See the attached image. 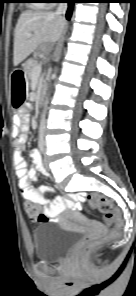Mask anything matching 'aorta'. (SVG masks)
<instances>
[{
    "mask_svg": "<svg viewBox=\"0 0 136 296\" xmlns=\"http://www.w3.org/2000/svg\"><path fill=\"white\" fill-rule=\"evenodd\" d=\"M53 77H56V74H53ZM48 104V98L45 101V109L41 115V120H40V127H39V138L42 141L44 138V134H45V111H46V106Z\"/></svg>",
    "mask_w": 136,
    "mask_h": 296,
    "instance_id": "aorta-1",
    "label": "aorta"
}]
</instances>
